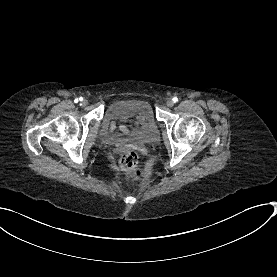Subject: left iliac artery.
<instances>
[{"instance_id": "1", "label": "left iliac artery", "mask_w": 277, "mask_h": 277, "mask_svg": "<svg viewBox=\"0 0 277 277\" xmlns=\"http://www.w3.org/2000/svg\"><path fill=\"white\" fill-rule=\"evenodd\" d=\"M173 101H174V102H177V101H178V98H177V97H174V98H173Z\"/></svg>"}]
</instances>
